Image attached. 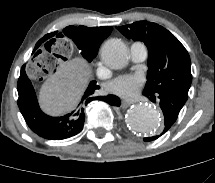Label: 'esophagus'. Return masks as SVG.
Listing matches in <instances>:
<instances>
[{"instance_id": "34e87169", "label": "esophagus", "mask_w": 215, "mask_h": 183, "mask_svg": "<svg viewBox=\"0 0 215 183\" xmlns=\"http://www.w3.org/2000/svg\"><path fill=\"white\" fill-rule=\"evenodd\" d=\"M133 103H134L133 101L123 100V101L121 102V107H122V108H126V107L132 105Z\"/></svg>"}]
</instances>
